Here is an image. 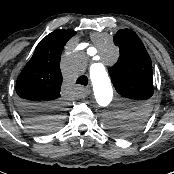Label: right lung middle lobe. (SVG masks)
Returning a JSON list of instances; mask_svg holds the SVG:
<instances>
[{"instance_id": "obj_1", "label": "right lung middle lobe", "mask_w": 174, "mask_h": 174, "mask_svg": "<svg viewBox=\"0 0 174 174\" xmlns=\"http://www.w3.org/2000/svg\"><path fill=\"white\" fill-rule=\"evenodd\" d=\"M62 106L55 107L52 111L37 115L31 120H27L32 129L40 133H49L58 129L62 124Z\"/></svg>"}]
</instances>
